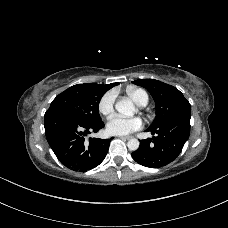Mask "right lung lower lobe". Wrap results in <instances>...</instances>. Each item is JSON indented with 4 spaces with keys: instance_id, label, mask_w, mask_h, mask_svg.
Here are the masks:
<instances>
[{
    "instance_id": "obj_1",
    "label": "right lung lower lobe",
    "mask_w": 228,
    "mask_h": 228,
    "mask_svg": "<svg viewBox=\"0 0 228 228\" xmlns=\"http://www.w3.org/2000/svg\"><path fill=\"white\" fill-rule=\"evenodd\" d=\"M45 134L58 160L74 171L86 172L97 167L106 157L110 139L89 138L91 132L104 127L103 121L84 123L62 113L45 114Z\"/></svg>"
}]
</instances>
